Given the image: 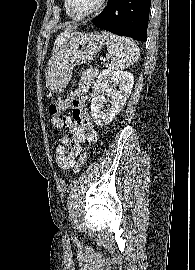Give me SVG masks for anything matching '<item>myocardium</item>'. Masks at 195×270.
Segmentation results:
<instances>
[{
  "instance_id": "f54148a6",
  "label": "myocardium",
  "mask_w": 195,
  "mask_h": 270,
  "mask_svg": "<svg viewBox=\"0 0 195 270\" xmlns=\"http://www.w3.org/2000/svg\"><path fill=\"white\" fill-rule=\"evenodd\" d=\"M107 0H99L98 4L96 5V7L91 10L90 12L86 13V14H77L73 11L72 7H71V3L70 0H65V5L66 8L68 10V12L76 19L78 20H84V19H88L90 17H93L94 15H96L97 13L100 12V10L103 8L104 4L106 3Z\"/></svg>"
}]
</instances>
